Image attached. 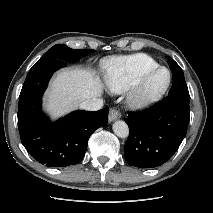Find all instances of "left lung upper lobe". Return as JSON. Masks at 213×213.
<instances>
[{
    "instance_id": "obj_1",
    "label": "left lung upper lobe",
    "mask_w": 213,
    "mask_h": 213,
    "mask_svg": "<svg viewBox=\"0 0 213 213\" xmlns=\"http://www.w3.org/2000/svg\"><path fill=\"white\" fill-rule=\"evenodd\" d=\"M167 61L173 75V84L169 91V95H177L189 98V91L182 69L172 58L168 57Z\"/></svg>"
}]
</instances>
